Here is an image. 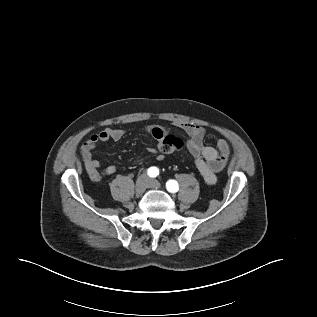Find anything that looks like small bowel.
<instances>
[{
  "label": "small bowel",
  "mask_w": 317,
  "mask_h": 317,
  "mask_svg": "<svg viewBox=\"0 0 317 317\" xmlns=\"http://www.w3.org/2000/svg\"><path fill=\"white\" fill-rule=\"evenodd\" d=\"M173 124L185 134L187 138L185 148L194 159L195 165L204 181L210 185L215 184L217 181L216 174L227 164L230 155L229 143L225 139H219L216 148L205 146V129L202 126L181 121H176ZM146 132L160 142L166 136L165 130L157 126L147 127ZM124 136L125 132L123 130L107 127L99 133L91 135L83 143L81 154L86 171L92 180L98 181L104 176L113 175L117 170L114 165L101 168L100 162L93 157V151L97 144L109 140L119 141ZM148 152L157 160L164 158V153L160 151L159 147L157 149L149 148Z\"/></svg>",
  "instance_id": "small-bowel-1"
}]
</instances>
